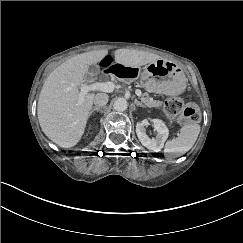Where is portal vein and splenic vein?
Returning <instances> with one entry per match:
<instances>
[{
	"mask_svg": "<svg viewBox=\"0 0 243 243\" xmlns=\"http://www.w3.org/2000/svg\"><path fill=\"white\" fill-rule=\"evenodd\" d=\"M115 85L112 82H94L90 84H80V96L78 99V104H81L84 98V95L91 91H100V92H112ZM137 97L142 96L140 90H136Z\"/></svg>",
	"mask_w": 243,
	"mask_h": 243,
	"instance_id": "obj_1",
	"label": "portal vein and splenic vein"
}]
</instances>
